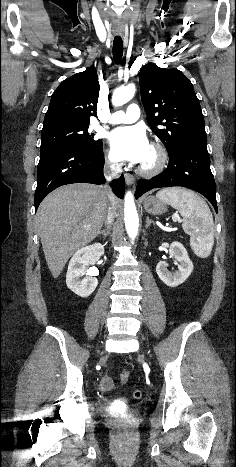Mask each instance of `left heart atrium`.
Instances as JSON below:
<instances>
[{
	"label": "left heart atrium",
	"mask_w": 236,
	"mask_h": 467,
	"mask_svg": "<svg viewBox=\"0 0 236 467\" xmlns=\"http://www.w3.org/2000/svg\"><path fill=\"white\" fill-rule=\"evenodd\" d=\"M113 154L117 160L143 163L150 151V143L140 126H123L110 134Z\"/></svg>",
	"instance_id": "39dd6f15"
}]
</instances>
